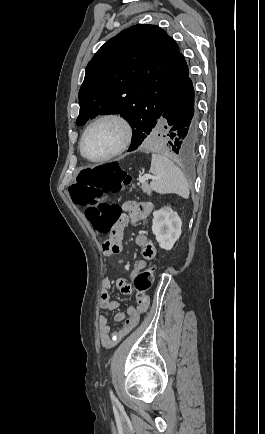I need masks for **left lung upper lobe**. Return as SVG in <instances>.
<instances>
[{"mask_svg": "<svg viewBox=\"0 0 265 434\" xmlns=\"http://www.w3.org/2000/svg\"><path fill=\"white\" fill-rule=\"evenodd\" d=\"M188 73L177 43L162 28L135 25L123 30L88 63L76 124L120 113L132 128L152 129Z\"/></svg>", "mask_w": 265, "mask_h": 434, "instance_id": "1", "label": "left lung upper lobe"}]
</instances>
